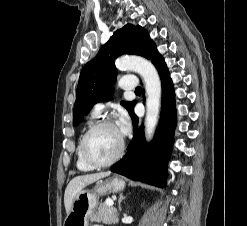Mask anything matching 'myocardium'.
Wrapping results in <instances>:
<instances>
[{
	"instance_id": "f54148a6",
	"label": "myocardium",
	"mask_w": 247,
	"mask_h": 226,
	"mask_svg": "<svg viewBox=\"0 0 247 226\" xmlns=\"http://www.w3.org/2000/svg\"><path fill=\"white\" fill-rule=\"evenodd\" d=\"M105 127H116V125L112 120H108V119L98 121L95 124H93L84 133V135L81 139V143H80L81 156H82L83 160L85 161V163L88 164L89 166L93 167V168H103V167L110 166V165L114 164L115 162H117L118 160H120L125 153L126 144H125V141L122 139V142H121V145H120L118 152L111 159L104 161V162H96L90 158V156L87 153V149H86L87 141L93 133H95L96 131H98L102 128H105Z\"/></svg>"
}]
</instances>
